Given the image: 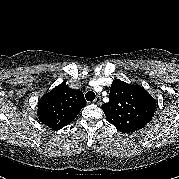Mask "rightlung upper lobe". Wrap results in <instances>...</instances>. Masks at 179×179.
Segmentation results:
<instances>
[{
  "label": "right lung upper lobe",
  "mask_w": 179,
  "mask_h": 179,
  "mask_svg": "<svg viewBox=\"0 0 179 179\" xmlns=\"http://www.w3.org/2000/svg\"><path fill=\"white\" fill-rule=\"evenodd\" d=\"M85 106L83 93L63 82L39 99L37 115L43 124L59 130L71 123Z\"/></svg>",
  "instance_id": "cb5924a9"
}]
</instances>
